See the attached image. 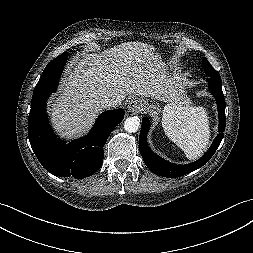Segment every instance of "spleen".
Returning a JSON list of instances; mask_svg holds the SVG:
<instances>
[{"mask_svg": "<svg viewBox=\"0 0 253 253\" xmlns=\"http://www.w3.org/2000/svg\"><path fill=\"white\" fill-rule=\"evenodd\" d=\"M162 125L167 137L189 160L200 157L209 144V120L203 107L177 105L164 113Z\"/></svg>", "mask_w": 253, "mask_h": 253, "instance_id": "3e777b00", "label": "spleen"}]
</instances>
